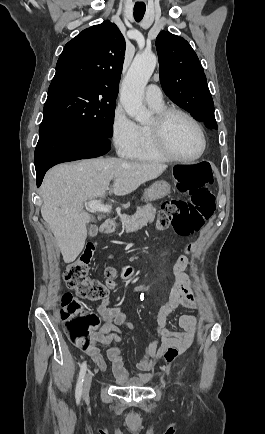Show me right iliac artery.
<instances>
[{"mask_svg":"<svg viewBox=\"0 0 265 434\" xmlns=\"http://www.w3.org/2000/svg\"><path fill=\"white\" fill-rule=\"evenodd\" d=\"M86 370H87L86 362H83L81 365V369H80V373H79V377H78V381H77V385H76V391H75V397L77 400H80L81 395H82L83 382H84Z\"/></svg>","mask_w":265,"mask_h":434,"instance_id":"right-iliac-artery-1","label":"right iliac artery"}]
</instances>
